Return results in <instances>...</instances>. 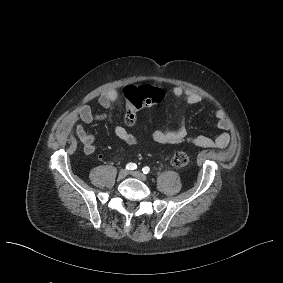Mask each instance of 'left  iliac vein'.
Here are the masks:
<instances>
[{
	"mask_svg": "<svg viewBox=\"0 0 283 283\" xmlns=\"http://www.w3.org/2000/svg\"><path fill=\"white\" fill-rule=\"evenodd\" d=\"M131 174H132V176H134L135 178H137L141 181L147 180V176L144 175L143 173L139 172V171H132Z\"/></svg>",
	"mask_w": 283,
	"mask_h": 283,
	"instance_id": "left-iliac-vein-1",
	"label": "left iliac vein"
}]
</instances>
